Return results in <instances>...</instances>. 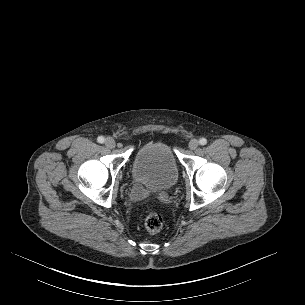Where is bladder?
Returning a JSON list of instances; mask_svg holds the SVG:
<instances>
[{
    "label": "bladder",
    "mask_w": 305,
    "mask_h": 305,
    "mask_svg": "<svg viewBox=\"0 0 305 305\" xmlns=\"http://www.w3.org/2000/svg\"><path fill=\"white\" fill-rule=\"evenodd\" d=\"M131 171L134 181L152 192L173 188L179 178L174 154L162 140L143 143L134 154Z\"/></svg>",
    "instance_id": "obj_1"
}]
</instances>
